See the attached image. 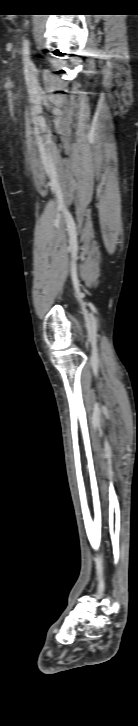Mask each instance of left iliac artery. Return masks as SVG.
<instances>
[{
  "mask_svg": "<svg viewBox=\"0 0 138 726\" xmlns=\"http://www.w3.org/2000/svg\"><path fill=\"white\" fill-rule=\"evenodd\" d=\"M23 57L24 60L29 62L30 61V42L28 39H25L23 42Z\"/></svg>",
  "mask_w": 138,
  "mask_h": 726,
  "instance_id": "1",
  "label": "left iliac artery"
}]
</instances>
